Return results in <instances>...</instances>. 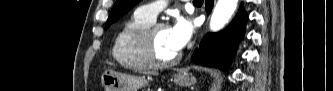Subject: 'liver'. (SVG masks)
Here are the masks:
<instances>
[{
    "instance_id": "obj_1",
    "label": "liver",
    "mask_w": 333,
    "mask_h": 91,
    "mask_svg": "<svg viewBox=\"0 0 333 91\" xmlns=\"http://www.w3.org/2000/svg\"><path fill=\"white\" fill-rule=\"evenodd\" d=\"M148 74H150V75H157V73H148Z\"/></svg>"
}]
</instances>
